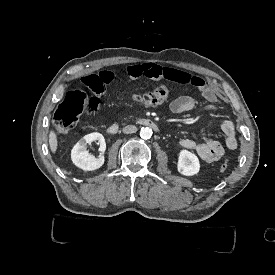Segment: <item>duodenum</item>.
Instances as JSON below:
<instances>
[{
	"mask_svg": "<svg viewBox=\"0 0 275 275\" xmlns=\"http://www.w3.org/2000/svg\"><path fill=\"white\" fill-rule=\"evenodd\" d=\"M136 124L140 126L149 127L155 132L159 131L158 125L152 119H149V118H140L136 121ZM119 129H120L119 124H111L107 128V132L110 135H115L116 133H118Z\"/></svg>",
	"mask_w": 275,
	"mask_h": 275,
	"instance_id": "410a0bca",
	"label": "duodenum"
}]
</instances>
